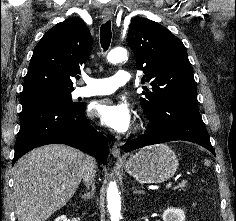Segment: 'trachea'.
Segmentation results:
<instances>
[{
    "label": "trachea",
    "instance_id": "trachea-1",
    "mask_svg": "<svg viewBox=\"0 0 236 221\" xmlns=\"http://www.w3.org/2000/svg\"><path fill=\"white\" fill-rule=\"evenodd\" d=\"M111 37V22L107 21L106 23L102 24L100 28V42L104 51L109 48Z\"/></svg>",
    "mask_w": 236,
    "mask_h": 221
}]
</instances>
